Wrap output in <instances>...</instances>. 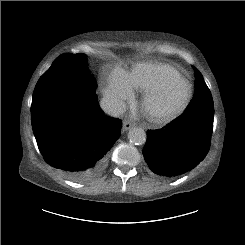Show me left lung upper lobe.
I'll return each mask as SVG.
<instances>
[{
	"mask_svg": "<svg viewBox=\"0 0 245 245\" xmlns=\"http://www.w3.org/2000/svg\"><path fill=\"white\" fill-rule=\"evenodd\" d=\"M194 72H195V75H196V80H195V92L196 91H199V88H198V83L200 82V81H202V82H204V80H203V76H202V74L199 72V70L198 69H196L195 67H194ZM204 84L206 85V83L204 82ZM206 87H207V85H206ZM194 95H195V93H194ZM206 96H207V99H209V98H212V95H211V92H210V90H209V88L207 87V90H206V94H205ZM195 97V96H194ZM198 98V97H197ZM200 99H202V98H200ZM201 102H205L204 100L203 101H195V98L192 100V102L190 103V105H189V107H191V109H193V108H195V107H198V105H195V103H201Z\"/></svg>",
	"mask_w": 245,
	"mask_h": 245,
	"instance_id": "1",
	"label": "left lung upper lobe"
}]
</instances>
